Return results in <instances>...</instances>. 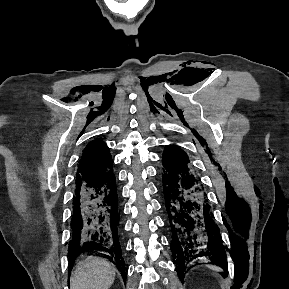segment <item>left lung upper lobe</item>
<instances>
[{"mask_svg": "<svg viewBox=\"0 0 289 289\" xmlns=\"http://www.w3.org/2000/svg\"><path fill=\"white\" fill-rule=\"evenodd\" d=\"M165 148L174 149V150L181 151V152L185 153L180 147H178L176 145H167Z\"/></svg>", "mask_w": 289, "mask_h": 289, "instance_id": "obj_1", "label": "left lung upper lobe"}]
</instances>
